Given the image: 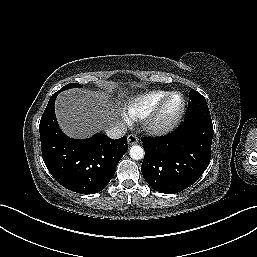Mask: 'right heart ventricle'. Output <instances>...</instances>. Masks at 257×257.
<instances>
[{
	"mask_svg": "<svg viewBox=\"0 0 257 257\" xmlns=\"http://www.w3.org/2000/svg\"><path fill=\"white\" fill-rule=\"evenodd\" d=\"M170 92L155 90L136 96L124 107V115L130 121L146 117Z\"/></svg>",
	"mask_w": 257,
	"mask_h": 257,
	"instance_id": "1",
	"label": "right heart ventricle"
}]
</instances>
